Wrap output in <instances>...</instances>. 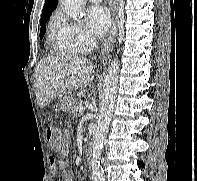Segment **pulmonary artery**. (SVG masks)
I'll list each match as a JSON object with an SVG mask.
<instances>
[{
    "mask_svg": "<svg viewBox=\"0 0 197 181\" xmlns=\"http://www.w3.org/2000/svg\"><path fill=\"white\" fill-rule=\"evenodd\" d=\"M101 1L102 0H90V2L95 3V4L100 3Z\"/></svg>",
    "mask_w": 197,
    "mask_h": 181,
    "instance_id": "e3ab8cb5",
    "label": "pulmonary artery"
}]
</instances>
